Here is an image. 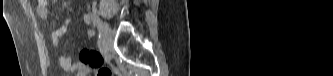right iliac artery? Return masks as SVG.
I'll return each mask as SVG.
<instances>
[{"label":"right iliac artery","mask_w":333,"mask_h":76,"mask_svg":"<svg viewBox=\"0 0 333 76\" xmlns=\"http://www.w3.org/2000/svg\"><path fill=\"white\" fill-rule=\"evenodd\" d=\"M89 17L91 18V20L93 21V23L96 25V27L98 29V32H99L98 46L101 49L102 46L104 45V40L102 38L101 22L94 13H91Z\"/></svg>","instance_id":"right-iliac-artery-1"}]
</instances>
